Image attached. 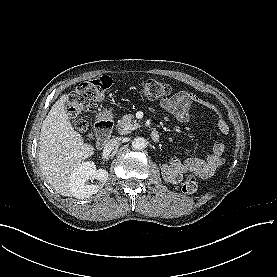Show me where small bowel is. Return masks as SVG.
Listing matches in <instances>:
<instances>
[{
    "label": "small bowel",
    "mask_w": 277,
    "mask_h": 277,
    "mask_svg": "<svg viewBox=\"0 0 277 277\" xmlns=\"http://www.w3.org/2000/svg\"><path fill=\"white\" fill-rule=\"evenodd\" d=\"M192 105H199L216 111L212 103L188 91H179L170 98H164L160 101L161 108L173 115L180 122H185L189 119V110ZM218 128L222 133L229 131V127L223 119L218 120ZM223 153L224 145L222 143H216L213 148L212 157L207 161L188 158L181 162L176 158H172L168 163V167L171 169H180L185 173H193L202 177L208 176L213 169L221 164Z\"/></svg>",
    "instance_id": "1"
}]
</instances>
